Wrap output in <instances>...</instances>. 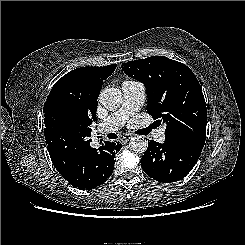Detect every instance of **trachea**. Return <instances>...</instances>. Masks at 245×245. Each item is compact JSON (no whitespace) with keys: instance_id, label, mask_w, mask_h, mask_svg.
I'll list each match as a JSON object with an SVG mask.
<instances>
[{"instance_id":"1","label":"trachea","mask_w":245,"mask_h":245,"mask_svg":"<svg viewBox=\"0 0 245 245\" xmlns=\"http://www.w3.org/2000/svg\"><path fill=\"white\" fill-rule=\"evenodd\" d=\"M153 128H155L154 125L149 126V127L146 129V133H147L148 131H150L151 129H153ZM107 137H108L109 139H116V138H117V135H116L115 133H111V134H108Z\"/></svg>"}]
</instances>
